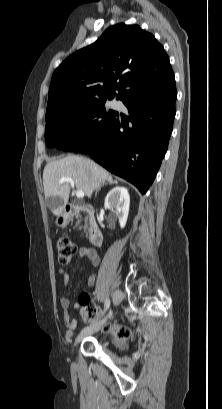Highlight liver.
Returning <instances> with one entry per match:
<instances>
[{
    "mask_svg": "<svg viewBox=\"0 0 222 409\" xmlns=\"http://www.w3.org/2000/svg\"><path fill=\"white\" fill-rule=\"evenodd\" d=\"M63 177L72 178L76 188L91 197L93 191L110 178V174L94 161L75 155L47 163L43 171V188L45 198L52 197L57 202L50 207L54 215L63 211L69 199L70 184L59 183Z\"/></svg>",
    "mask_w": 222,
    "mask_h": 409,
    "instance_id": "1",
    "label": "liver"
}]
</instances>
